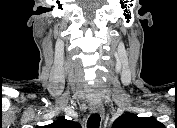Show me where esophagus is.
<instances>
[{
    "label": "esophagus",
    "instance_id": "esophagus-1",
    "mask_svg": "<svg viewBox=\"0 0 177 128\" xmlns=\"http://www.w3.org/2000/svg\"><path fill=\"white\" fill-rule=\"evenodd\" d=\"M90 110L92 113H95V114H103L104 113V107L102 105H91Z\"/></svg>",
    "mask_w": 177,
    "mask_h": 128
}]
</instances>
